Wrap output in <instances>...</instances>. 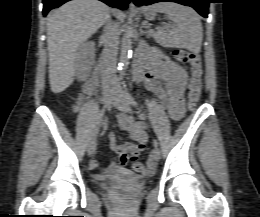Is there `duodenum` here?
Here are the masks:
<instances>
[{"instance_id":"duodenum-1","label":"duodenum","mask_w":260,"mask_h":217,"mask_svg":"<svg viewBox=\"0 0 260 217\" xmlns=\"http://www.w3.org/2000/svg\"><path fill=\"white\" fill-rule=\"evenodd\" d=\"M143 75V71L141 67L136 68V78L140 79ZM96 88V79L95 78H91L90 80H88L84 86H83V92L86 94L92 93L94 91V89Z\"/></svg>"}]
</instances>
